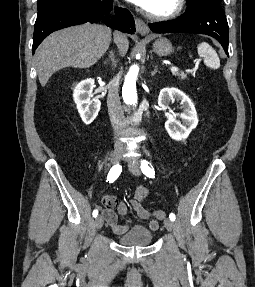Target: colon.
Instances as JSON below:
<instances>
[{
  "label": "colon",
  "mask_w": 255,
  "mask_h": 287,
  "mask_svg": "<svg viewBox=\"0 0 255 287\" xmlns=\"http://www.w3.org/2000/svg\"><path fill=\"white\" fill-rule=\"evenodd\" d=\"M153 215H154V217L156 218V219H158V220H161V219H163L164 217H165V212H163V211H161V210H155L154 212H153Z\"/></svg>",
  "instance_id": "5ec220e1"
}]
</instances>
